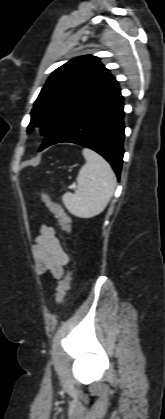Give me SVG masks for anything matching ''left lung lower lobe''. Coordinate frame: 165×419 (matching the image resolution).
Listing matches in <instances>:
<instances>
[{"instance_id":"left-lung-lower-lobe-1","label":"left lung lower lobe","mask_w":165,"mask_h":419,"mask_svg":"<svg viewBox=\"0 0 165 419\" xmlns=\"http://www.w3.org/2000/svg\"><path fill=\"white\" fill-rule=\"evenodd\" d=\"M123 97L115 80L104 90L77 106L43 141L46 147L71 142L102 155L120 177L123 162Z\"/></svg>"}]
</instances>
